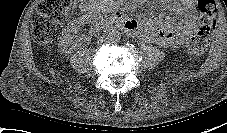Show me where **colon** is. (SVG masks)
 <instances>
[{"instance_id": "obj_1", "label": "colon", "mask_w": 227, "mask_h": 133, "mask_svg": "<svg viewBox=\"0 0 227 133\" xmlns=\"http://www.w3.org/2000/svg\"><path fill=\"white\" fill-rule=\"evenodd\" d=\"M80 0H42L32 17V36L41 45L53 43L60 34L62 19ZM200 13L198 29L188 44L193 55L203 52L216 26L215 0H197Z\"/></svg>"}]
</instances>
